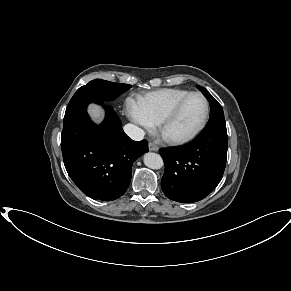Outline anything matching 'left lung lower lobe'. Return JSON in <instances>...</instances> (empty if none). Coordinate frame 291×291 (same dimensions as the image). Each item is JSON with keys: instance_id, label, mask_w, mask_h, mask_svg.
I'll return each mask as SVG.
<instances>
[{"instance_id": "0a47b994", "label": "left lung lower lobe", "mask_w": 291, "mask_h": 291, "mask_svg": "<svg viewBox=\"0 0 291 291\" xmlns=\"http://www.w3.org/2000/svg\"><path fill=\"white\" fill-rule=\"evenodd\" d=\"M165 164L161 180L171 200L192 203L210 194L222 179L227 157L226 125L206 126L190 143L159 150Z\"/></svg>"}]
</instances>
